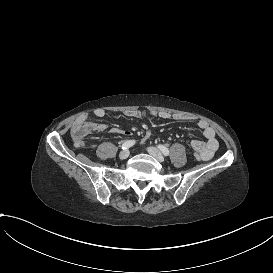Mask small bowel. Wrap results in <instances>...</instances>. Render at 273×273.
Returning <instances> with one entry per match:
<instances>
[{
	"mask_svg": "<svg viewBox=\"0 0 273 273\" xmlns=\"http://www.w3.org/2000/svg\"><path fill=\"white\" fill-rule=\"evenodd\" d=\"M125 117L127 118H146L153 117L166 120H175L186 123H194L195 126L202 131L204 140L208 143V150L204 154H199L200 158L205 161H208L213 158L216 151L218 150L219 144L216 138V132L213 127H211L205 120L197 119L187 113H169V112H146L142 110H127L124 112ZM94 116L97 118H106L109 116V112L104 109H96L94 111ZM93 131L97 135H102L104 133H115L119 135L129 136L131 134L130 130L127 129H108V127L102 123L97 122L93 126ZM77 146H87L85 140L76 141Z\"/></svg>",
	"mask_w": 273,
	"mask_h": 273,
	"instance_id": "c3829d8e",
	"label": "small bowel"
}]
</instances>
